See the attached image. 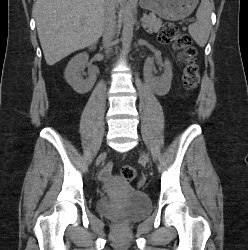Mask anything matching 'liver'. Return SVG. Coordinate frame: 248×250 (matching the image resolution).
I'll list each match as a JSON object with an SVG mask.
<instances>
[{
  "label": "liver",
  "instance_id": "obj_1",
  "mask_svg": "<svg viewBox=\"0 0 248 250\" xmlns=\"http://www.w3.org/2000/svg\"><path fill=\"white\" fill-rule=\"evenodd\" d=\"M107 3L108 0L35 2L38 37L48 65L92 45L101 37Z\"/></svg>",
  "mask_w": 248,
  "mask_h": 250
}]
</instances>
